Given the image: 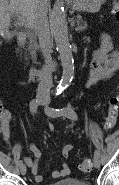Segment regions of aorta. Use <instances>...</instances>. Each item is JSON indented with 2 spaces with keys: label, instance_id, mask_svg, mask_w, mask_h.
Returning a JSON list of instances; mask_svg holds the SVG:
<instances>
[{
  "label": "aorta",
  "instance_id": "1",
  "mask_svg": "<svg viewBox=\"0 0 119 185\" xmlns=\"http://www.w3.org/2000/svg\"><path fill=\"white\" fill-rule=\"evenodd\" d=\"M50 25L63 68L62 79L58 86L59 92L72 81L74 75V60L68 37L67 20L62 0H56L53 6Z\"/></svg>",
  "mask_w": 119,
  "mask_h": 185
}]
</instances>
